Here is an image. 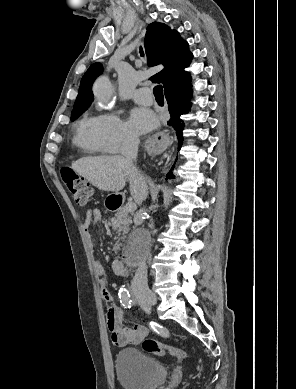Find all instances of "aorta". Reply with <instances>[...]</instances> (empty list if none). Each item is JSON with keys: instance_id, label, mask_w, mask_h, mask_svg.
I'll list each match as a JSON object with an SVG mask.
<instances>
[{"instance_id": "aorta-1", "label": "aorta", "mask_w": 296, "mask_h": 389, "mask_svg": "<svg viewBox=\"0 0 296 389\" xmlns=\"http://www.w3.org/2000/svg\"><path fill=\"white\" fill-rule=\"evenodd\" d=\"M93 92L104 106H110L113 100V90L108 77L103 76L96 80ZM151 237L148 231L139 229L132 233L124 246V257L132 263H140L149 253Z\"/></svg>"}]
</instances>
